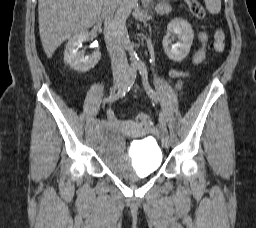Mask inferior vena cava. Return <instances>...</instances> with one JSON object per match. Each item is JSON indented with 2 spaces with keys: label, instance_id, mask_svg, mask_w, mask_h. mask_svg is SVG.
Instances as JSON below:
<instances>
[{
  "label": "inferior vena cava",
  "instance_id": "602c4592",
  "mask_svg": "<svg viewBox=\"0 0 256 228\" xmlns=\"http://www.w3.org/2000/svg\"><path fill=\"white\" fill-rule=\"evenodd\" d=\"M119 2L120 0H103L104 38L111 57L113 74L126 75L129 66L119 37L116 17L113 16Z\"/></svg>",
  "mask_w": 256,
  "mask_h": 228
}]
</instances>
